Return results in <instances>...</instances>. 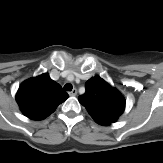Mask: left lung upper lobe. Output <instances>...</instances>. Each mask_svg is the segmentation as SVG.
<instances>
[{
	"label": "left lung upper lobe",
	"instance_id": "obj_1",
	"mask_svg": "<svg viewBox=\"0 0 163 163\" xmlns=\"http://www.w3.org/2000/svg\"><path fill=\"white\" fill-rule=\"evenodd\" d=\"M85 87V94L78 100L94 121L104 126L116 122L125 110L122 94L98 76L89 79Z\"/></svg>",
	"mask_w": 163,
	"mask_h": 163
}]
</instances>
